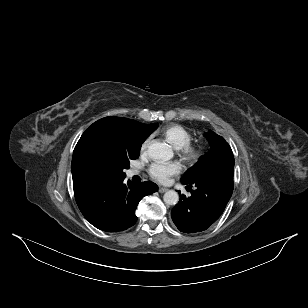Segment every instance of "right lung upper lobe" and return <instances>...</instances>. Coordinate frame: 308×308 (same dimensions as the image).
Here are the masks:
<instances>
[{"label": "right lung upper lobe", "instance_id": "right-lung-upper-lobe-1", "mask_svg": "<svg viewBox=\"0 0 308 308\" xmlns=\"http://www.w3.org/2000/svg\"><path fill=\"white\" fill-rule=\"evenodd\" d=\"M151 124L121 117H105L87 128L75 146L71 164L75 198L104 182L119 178L118 156L141 148Z\"/></svg>", "mask_w": 308, "mask_h": 308}]
</instances>
